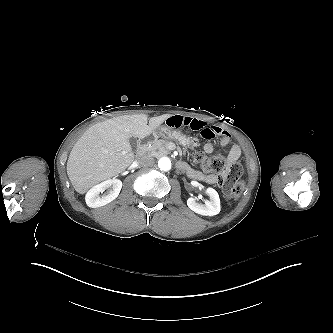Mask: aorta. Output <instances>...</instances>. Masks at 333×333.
<instances>
[{"instance_id": "762f6f07", "label": "aorta", "mask_w": 333, "mask_h": 333, "mask_svg": "<svg viewBox=\"0 0 333 333\" xmlns=\"http://www.w3.org/2000/svg\"><path fill=\"white\" fill-rule=\"evenodd\" d=\"M158 167L163 171H169L171 169V161L168 157H162L158 161Z\"/></svg>"}]
</instances>
